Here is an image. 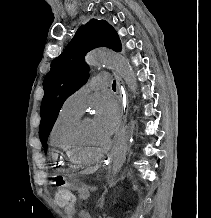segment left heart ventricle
Wrapping results in <instances>:
<instances>
[{"instance_id":"b2bd125f","label":"left heart ventricle","mask_w":211,"mask_h":218,"mask_svg":"<svg viewBox=\"0 0 211 218\" xmlns=\"http://www.w3.org/2000/svg\"><path fill=\"white\" fill-rule=\"evenodd\" d=\"M109 142L110 137L96 128L93 119L84 123L80 134V145L83 150L96 152L105 148Z\"/></svg>"}]
</instances>
